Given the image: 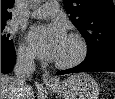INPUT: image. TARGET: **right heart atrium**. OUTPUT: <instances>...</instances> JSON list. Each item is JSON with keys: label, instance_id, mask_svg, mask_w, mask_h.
Instances as JSON below:
<instances>
[{"label": "right heart atrium", "instance_id": "1", "mask_svg": "<svg viewBox=\"0 0 115 99\" xmlns=\"http://www.w3.org/2000/svg\"><path fill=\"white\" fill-rule=\"evenodd\" d=\"M18 59L25 64H30L33 61V55L29 48L21 45L17 53Z\"/></svg>", "mask_w": 115, "mask_h": 99}]
</instances>
